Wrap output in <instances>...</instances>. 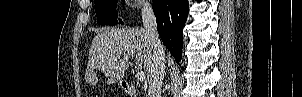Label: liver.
Instances as JSON below:
<instances>
[{"mask_svg":"<svg viewBox=\"0 0 302 97\" xmlns=\"http://www.w3.org/2000/svg\"><path fill=\"white\" fill-rule=\"evenodd\" d=\"M135 57L136 65L143 68L145 75L150 76L152 49L145 29L136 28H104L92 41L87 75L93 84L97 83L95 70L108 75L109 83L121 81L128 69V59Z\"/></svg>","mask_w":302,"mask_h":97,"instance_id":"6515ba94","label":"liver"}]
</instances>
